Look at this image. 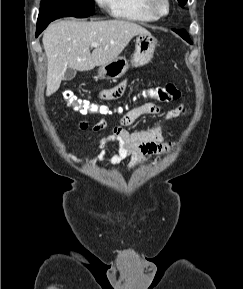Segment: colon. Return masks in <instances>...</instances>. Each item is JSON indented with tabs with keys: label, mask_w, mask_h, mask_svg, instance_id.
Segmentation results:
<instances>
[{
	"label": "colon",
	"mask_w": 243,
	"mask_h": 289,
	"mask_svg": "<svg viewBox=\"0 0 243 289\" xmlns=\"http://www.w3.org/2000/svg\"><path fill=\"white\" fill-rule=\"evenodd\" d=\"M180 94L179 88L174 83H168L164 86L150 88L145 91L146 96L161 103L177 100ZM62 97L64 103L73 106L76 111L84 115H107L110 112L107 106L88 99H80L71 90H65Z\"/></svg>",
	"instance_id": "obj_1"
}]
</instances>
